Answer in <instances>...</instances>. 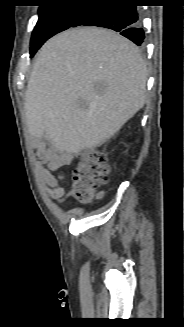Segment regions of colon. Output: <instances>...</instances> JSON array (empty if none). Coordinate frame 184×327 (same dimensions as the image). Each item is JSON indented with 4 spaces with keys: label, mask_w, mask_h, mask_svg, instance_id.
Returning a JSON list of instances; mask_svg holds the SVG:
<instances>
[{
    "label": "colon",
    "mask_w": 184,
    "mask_h": 327,
    "mask_svg": "<svg viewBox=\"0 0 184 327\" xmlns=\"http://www.w3.org/2000/svg\"><path fill=\"white\" fill-rule=\"evenodd\" d=\"M109 174L105 154L98 149L90 151L72 172L74 196L81 202H91L98 195V188L108 182Z\"/></svg>",
    "instance_id": "colon-1"
}]
</instances>
